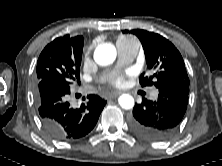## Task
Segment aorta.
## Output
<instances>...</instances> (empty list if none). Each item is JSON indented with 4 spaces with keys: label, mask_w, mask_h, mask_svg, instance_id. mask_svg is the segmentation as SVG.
Returning a JSON list of instances; mask_svg holds the SVG:
<instances>
[{
    "label": "aorta",
    "mask_w": 222,
    "mask_h": 166,
    "mask_svg": "<svg viewBox=\"0 0 222 166\" xmlns=\"http://www.w3.org/2000/svg\"><path fill=\"white\" fill-rule=\"evenodd\" d=\"M116 59V48L111 43H104L95 49L94 60L101 66H107ZM119 105L123 109H131L134 107V98L129 94H122L118 99Z\"/></svg>",
    "instance_id": "obj_1"
}]
</instances>
